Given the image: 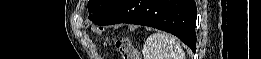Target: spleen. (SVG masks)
I'll list each match as a JSON object with an SVG mask.
<instances>
[{
  "label": "spleen",
  "mask_w": 261,
  "mask_h": 59,
  "mask_svg": "<svg viewBox=\"0 0 261 59\" xmlns=\"http://www.w3.org/2000/svg\"><path fill=\"white\" fill-rule=\"evenodd\" d=\"M145 59H184L185 53L179 41L164 33L151 34L145 41Z\"/></svg>",
  "instance_id": "1"
}]
</instances>
